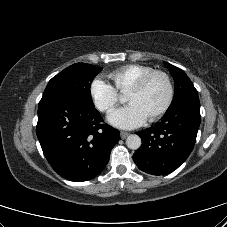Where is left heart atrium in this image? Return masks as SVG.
<instances>
[{
  "instance_id": "39dd6f15",
  "label": "left heart atrium",
  "mask_w": 227,
  "mask_h": 227,
  "mask_svg": "<svg viewBox=\"0 0 227 227\" xmlns=\"http://www.w3.org/2000/svg\"><path fill=\"white\" fill-rule=\"evenodd\" d=\"M108 120L118 128L133 129L141 126L147 120V116L136 104L129 103L111 112Z\"/></svg>"
}]
</instances>
